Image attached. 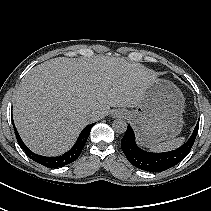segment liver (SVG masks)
I'll use <instances>...</instances> for the list:
<instances>
[{
	"instance_id": "6515ba94",
	"label": "liver",
	"mask_w": 211,
	"mask_h": 211,
	"mask_svg": "<svg viewBox=\"0 0 211 211\" xmlns=\"http://www.w3.org/2000/svg\"><path fill=\"white\" fill-rule=\"evenodd\" d=\"M155 80L151 70L122 58H53L21 80L14 122L33 152L59 155L86 125L108 115L110 107H137Z\"/></svg>"
}]
</instances>
